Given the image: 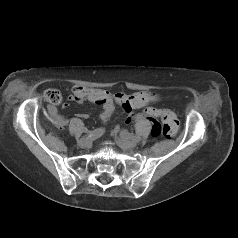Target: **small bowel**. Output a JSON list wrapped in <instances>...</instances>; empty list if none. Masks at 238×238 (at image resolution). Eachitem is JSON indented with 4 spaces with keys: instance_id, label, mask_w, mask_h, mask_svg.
I'll return each instance as SVG.
<instances>
[{
    "instance_id": "c3829d8e",
    "label": "small bowel",
    "mask_w": 238,
    "mask_h": 238,
    "mask_svg": "<svg viewBox=\"0 0 238 238\" xmlns=\"http://www.w3.org/2000/svg\"><path fill=\"white\" fill-rule=\"evenodd\" d=\"M69 99L76 103H82L84 101H89L102 106L101 120L106 123L109 121L114 108L115 100L120 104L123 109L127 112L126 122L131 123L135 116L132 114L133 109H139L147 104L157 100V96L147 92H136L131 95L116 94L115 100L112 94L103 89L97 88H87L79 85H74L72 87V94ZM49 113L53 119L54 124L58 128H64L68 124V120L60 115L55 107L49 108ZM81 118H87L88 115L85 113L78 114ZM118 128L114 130L117 131Z\"/></svg>"
}]
</instances>
